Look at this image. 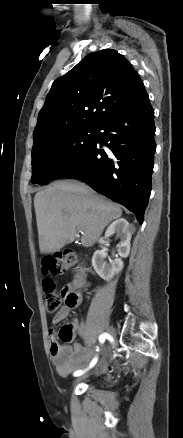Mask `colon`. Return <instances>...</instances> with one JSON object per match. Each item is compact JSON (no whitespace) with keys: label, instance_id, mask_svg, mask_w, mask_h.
<instances>
[{"label":"colon","instance_id":"colon-1","mask_svg":"<svg viewBox=\"0 0 183 438\" xmlns=\"http://www.w3.org/2000/svg\"><path fill=\"white\" fill-rule=\"evenodd\" d=\"M78 260L76 253L72 250H64L53 256L46 257L42 260V269L46 274L58 275L63 273L67 268L73 266ZM43 290L45 293V308L47 312H56L61 305V298L55 291V283L51 278L43 281ZM65 303L75 305L78 300V294L65 288L62 292ZM74 328L72 324H66L59 330V337L64 342H69L74 338Z\"/></svg>","mask_w":183,"mask_h":438}]
</instances>
